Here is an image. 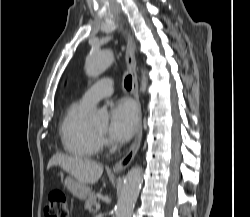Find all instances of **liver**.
Segmentation results:
<instances>
[{
    "label": "liver",
    "instance_id": "obj_1",
    "mask_svg": "<svg viewBox=\"0 0 250 217\" xmlns=\"http://www.w3.org/2000/svg\"><path fill=\"white\" fill-rule=\"evenodd\" d=\"M60 166L81 184H95L103 173V166L89 159L56 153L49 160L47 169Z\"/></svg>",
    "mask_w": 250,
    "mask_h": 217
}]
</instances>
